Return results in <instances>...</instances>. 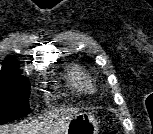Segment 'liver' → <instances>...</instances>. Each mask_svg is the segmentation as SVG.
Segmentation results:
<instances>
[{"label":"liver","mask_w":153,"mask_h":134,"mask_svg":"<svg viewBox=\"0 0 153 134\" xmlns=\"http://www.w3.org/2000/svg\"><path fill=\"white\" fill-rule=\"evenodd\" d=\"M75 113H77V109L56 110L47 116V118L51 119L50 122L43 119L42 122L33 121L28 124H19L12 127L2 126L0 127V134H39L40 132L62 134L65 132ZM53 119L56 122H52Z\"/></svg>","instance_id":"1"}]
</instances>
